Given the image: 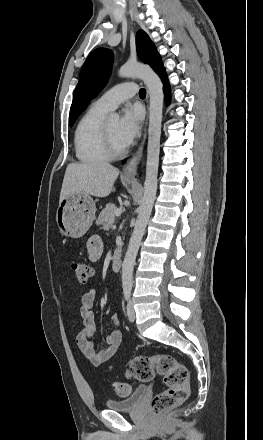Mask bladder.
<instances>
[{
	"label": "bladder",
	"instance_id": "31cf9c89",
	"mask_svg": "<svg viewBox=\"0 0 263 440\" xmlns=\"http://www.w3.org/2000/svg\"><path fill=\"white\" fill-rule=\"evenodd\" d=\"M147 390L148 388L146 386H138L129 396L125 398L107 400L105 406L107 409L113 411H133L140 405L142 399L147 393Z\"/></svg>",
	"mask_w": 263,
	"mask_h": 440
}]
</instances>
